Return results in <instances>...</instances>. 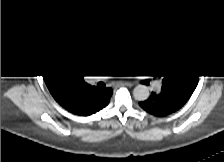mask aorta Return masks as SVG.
I'll return each instance as SVG.
<instances>
[{"label":"aorta","mask_w":224,"mask_h":162,"mask_svg":"<svg viewBox=\"0 0 224 162\" xmlns=\"http://www.w3.org/2000/svg\"><path fill=\"white\" fill-rule=\"evenodd\" d=\"M133 96L138 101H145L149 97V90L146 86L138 85L133 90Z\"/></svg>","instance_id":"obj_1"}]
</instances>
